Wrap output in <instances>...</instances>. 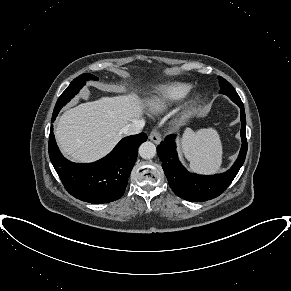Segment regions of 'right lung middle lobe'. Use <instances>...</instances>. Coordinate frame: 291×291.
<instances>
[{"instance_id":"obj_1","label":"right lung middle lobe","mask_w":291,"mask_h":291,"mask_svg":"<svg viewBox=\"0 0 291 291\" xmlns=\"http://www.w3.org/2000/svg\"><path fill=\"white\" fill-rule=\"evenodd\" d=\"M87 80H98V77L85 73L74 79L59 97L54 108L52 118L57 116L60 109L78 93L79 89L85 85Z\"/></svg>"}]
</instances>
